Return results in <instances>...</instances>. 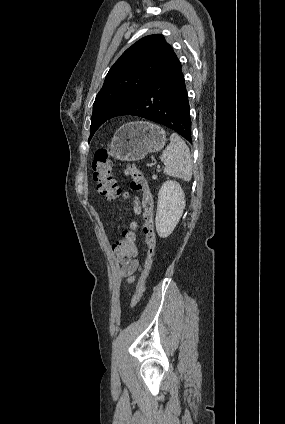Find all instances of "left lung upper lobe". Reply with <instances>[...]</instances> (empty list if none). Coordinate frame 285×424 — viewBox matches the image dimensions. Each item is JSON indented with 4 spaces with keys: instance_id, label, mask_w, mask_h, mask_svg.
Returning a JSON list of instances; mask_svg holds the SVG:
<instances>
[{
    "instance_id": "obj_1",
    "label": "left lung upper lobe",
    "mask_w": 285,
    "mask_h": 424,
    "mask_svg": "<svg viewBox=\"0 0 285 424\" xmlns=\"http://www.w3.org/2000/svg\"><path fill=\"white\" fill-rule=\"evenodd\" d=\"M173 54L164 36L154 34L141 38L120 56L96 96L88 141L118 109L159 76Z\"/></svg>"
}]
</instances>
